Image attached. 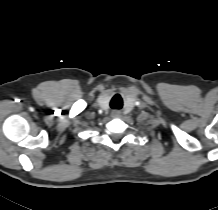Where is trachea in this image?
<instances>
[{
  "label": "trachea",
  "instance_id": "3493384b",
  "mask_svg": "<svg viewBox=\"0 0 218 210\" xmlns=\"http://www.w3.org/2000/svg\"><path fill=\"white\" fill-rule=\"evenodd\" d=\"M117 98H118V96H115L113 99H112V101H111V107L112 108H119L117 105H118V100H117ZM122 102L120 101V105H122L121 104ZM121 107V106H120Z\"/></svg>",
  "mask_w": 218,
  "mask_h": 210
}]
</instances>
